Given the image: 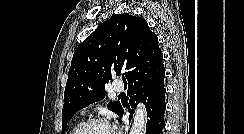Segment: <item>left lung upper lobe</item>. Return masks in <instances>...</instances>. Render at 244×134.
<instances>
[{"label": "left lung upper lobe", "mask_w": 244, "mask_h": 134, "mask_svg": "<svg viewBox=\"0 0 244 134\" xmlns=\"http://www.w3.org/2000/svg\"><path fill=\"white\" fill-rule=\"evenodd\" d=\"M122 74L128 90H141L165 77L157 36L141 17L127 13L103 22L74 52L64 93L62 133L72 116L105 97L111 74ZM119 115V102L108 103Z\"/></svg>", "instance_id": "obj_1"}]
</instances>
